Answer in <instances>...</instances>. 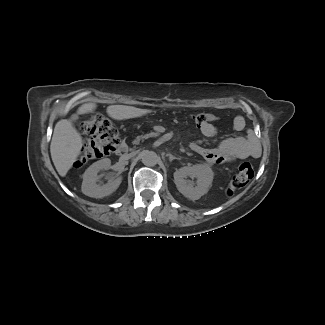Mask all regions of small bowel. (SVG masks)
I'll return each instance as SVG.
<instances>
[{"instance_id":"c3829d8e","label":"small bowel","mask_w":325,"mask_h":325,"mask_svg":"<svg viewBox=\"0 0 325 325\" xmlns=\"http://www.w3.org/2000/svg\"><path fill=\"white\" fill-rule=\"evenodd\" d=\"M209 115L212 119L199 126V129L204 136L215 137L221 130L216 125L217 117L213 114ZM244 126V118L236 116L232 122V130L238 132L241 131ZM191 148L207 161L213 163H225L235 159H245L257 154L256 149L242 136L227 137L214 148H207L198 144H192Z\"/></svg>"}]
</instances>
